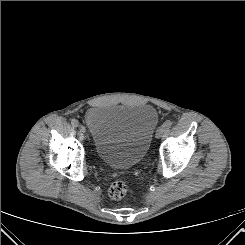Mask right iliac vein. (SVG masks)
<instances>
[{"mask_svg":"<svg viewBox=\"0 0 245 245\" xmlns=\"http://www.w3.org/2000/svg\"><path fill=\"white\" fill-rule=\"evenodd\" d=\"M79 130L81 131V132H83V133H85V128L83 127V126H79Z\"/></svg>","mask_w":245,"mask_h":245,"instance_id":"1","label":"right iliac vein"}]
</instances>
